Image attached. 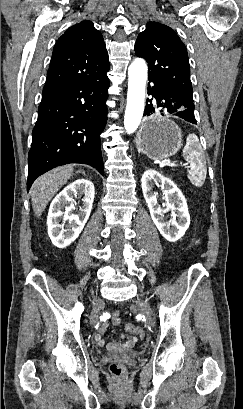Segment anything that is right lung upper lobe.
I'll use <instances>...</instances> for the list:
<instances>
[{
    "mask_svg": "<svg viewBox=\"0 0 243 409\" xmlns=\"http://www.w3.org/2000/svg\"><path fill=\"white\" fill-rule=\"evenodd\" d=\"M110 69L108 52L100 31L91 21L68 28L57 40L45 85L84 82Z\"/></svg>",
    "mask_w": 243,
    "mask_h": 409,
    "instance_id": "right-lung-upper-lobe-1",
    "label": "right lung upper lobe"
}]
</instances>
